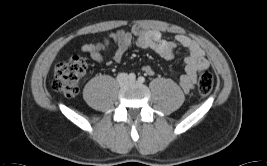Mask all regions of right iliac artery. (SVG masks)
<instances>
[{
  "mask_svg": "<svg viewBox=\"0 0 267 166\" xmlns=\"http://www.w3.org/2000/svg\"><path fill=\"white\" fill-rule=\"evenodd\" d=\"M128 77L130 80H135L136 75L134 73H130Z\"/></svg>",
  "mask_w": 267,
  "mask_h": 166,
  "instance_id": "82829eb1",
  "label": "right iliac artery"
}]
</instances>
